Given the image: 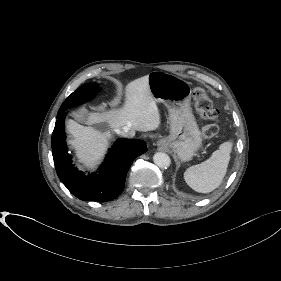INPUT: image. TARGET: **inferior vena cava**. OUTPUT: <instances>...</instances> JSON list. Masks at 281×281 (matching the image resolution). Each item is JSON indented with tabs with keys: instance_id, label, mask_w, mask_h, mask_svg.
<instances>
[{
	"instance_id": "inferior-vena-cava-1",
	"label": "inferior vena cava",
	"mask_w": 281,
	"mask_h": 281,
	"mask_svg": "<svg viewBox=\"0 0 281 281\" xmlns=\"http://www.w3.org/2000/svg\"><path fill=\"white\" fill-rule=\"evenodd\" d=\"M117 134L123 136V137H133L134 132H132L128 127H124L121 129H116Z\"/></svg>"
}]
</instances>
